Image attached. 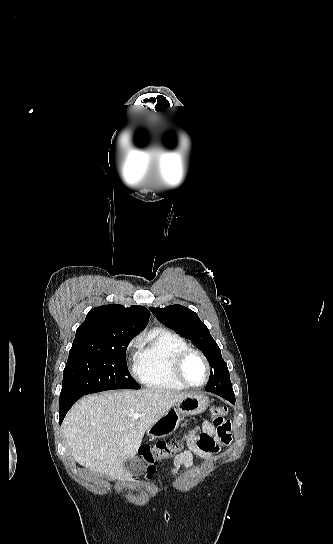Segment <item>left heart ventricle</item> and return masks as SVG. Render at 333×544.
Segmentation results:
<instances>
[{
  "instance_id": "obj_1",
  "label": "left heart ventricle",
  "mask_w": 333,
  "mask_h": 544,
  "mask_svg": "<svg viewBox=\"0 0 333 544\" xmlns=\"http://www.w3.org/2000/svg\"><path fill=\"white\" fill-rule=\"evenodd\" d=\"M185 378L194 385L203 383L206 379V368L203 361L196 355L188 358L184 365Z\"/></svg>"
}]
</instances>
